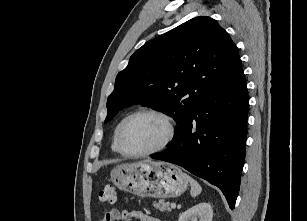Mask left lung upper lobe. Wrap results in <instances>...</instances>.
Segmentation results:
<instances>
[{"label":"left lung upper lobe","instance_id":"obj_1","mask_svg":"<svg viewBox=\"0 0 307 221\" xmlns=\"http://www.w3.org/2000/svg\"><path fill=\"white\" fill-rule=\"evenodd\" d=\"M238 60L237 47L216 20L195 17L146 42L130 57L108 97L105 122L127 106L142 104L171 115L181 129Z\"/></svg>","mask_w":307,"mask_h":221}]
</instances>
